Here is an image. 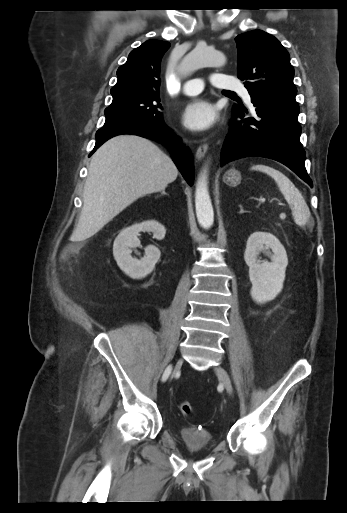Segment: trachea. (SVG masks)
I'll use <instances>...</instances> for the list:
<instances>
[{
  "label": "trachea",
  "mask_w": 347,
  "mask_h": 513,
  "mask_svg": "<svg viewBox=\"0 0 347 513\" xmlns=\"http://www.w3.org/2000/svg\"><path fill=\"white\" fill-rule=\"evenodd\" d=\"M225 93H229V94H233V92L231 91H224Z\"/></svg>",
  "instance_id": "trachea-1"
}]
</instances>
